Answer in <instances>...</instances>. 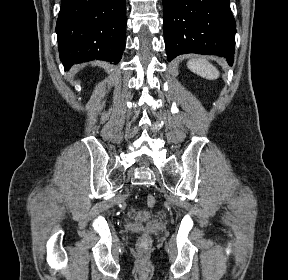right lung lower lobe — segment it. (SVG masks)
Instances as JSON below:
<instances>
[{
  "mask_svg": "<svg viewBox=\"0 0 288 280\" xmlns=\"http://www.w3.org/2000/svg\"><path fill=\"white\" fill-rule=\"evenodd\" d=\"M125 28V0H62L56 33L65 70L94 59L119 63Z\"/></svg>",
  "mask_w": 288,
  "mask_h": 280,
  "instance_id": "98d812e1",
  "label": "right lung lower lobe"
}]
</instances>
